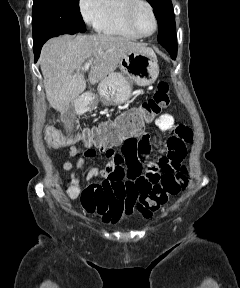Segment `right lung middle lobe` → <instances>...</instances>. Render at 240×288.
I'll use <instances>...</instances> for the list:
<instances>
[{
	"label": "right lung middle lobe",
	"mask_w": 240,
	"mask_h": 288,
	"mask_svg": "<svg viewBox=\"0 0 240 288\" xmlns=\"http://www.w3.org/2000/svg\"><path fill=\"white\" fill-rule=\"evenodd\" d=\"M32 25L33 46L56 32L85 31L79 0H34Z\"/></svg>",
	"instance_id": "obj_1"
}]
</instances>
